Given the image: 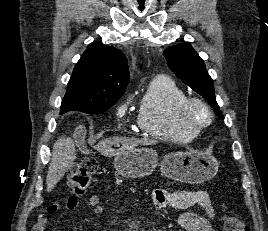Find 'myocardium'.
I'll list each match as a JSON object with an SVG mask.
<instances>
[{"instance_id": "obj_1", "label": "myocardium", "mask_w": 268, "mask_h": 231, "mask_svg": "<svg viewBox=\"0 0 268 231\" xmlns=\"http://www.w3.org/2000/svg\"><path fill=\"white\" fill-rule=\"evenodd\" d=\"M199 109L203 113L201 119H196L193 115L194 110ZM211 110L208 104L198 97L184 98L178 108V121L181 126L192 136L198 134L211 122Z\"/></svg>"}]
</instances>
